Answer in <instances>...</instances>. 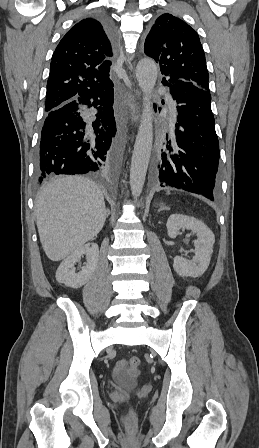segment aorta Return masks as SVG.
Wrapping results in <instances>:
<instances>
[{"mask_svg": "<svg viewBox=\"0 0 259 448\" xmlns=\"http://www.w3.org/2000/svg\"><path fill=\"white\" fill-rule=\"evenodd\" d=\"M158 67L149 58L142 59L136 67L138 85L144 94V110L136 136L130 167V187L134 197L140 196L148 169L153 142L151 95L157 80Z\"/></svg>", "mask_w": 259, "mask_h": 448, "instance_id": "aorta-1", "label": "aorta"}]
</instances>
